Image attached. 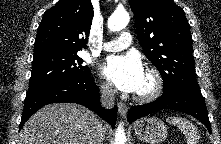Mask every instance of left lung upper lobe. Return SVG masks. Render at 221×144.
<instances>
[{
	"label": "left lung upper lobe",
	"mask_w": 221,
	"mask_h": 144,
	"mask_svg": "<svg viewBox=\"0 0 221 144\" xmlns=\"http://www.w3.org/2000/svg\"><path fill=\"white\" fill-rule=\"evenodd\" d=\"M138 40L163 79V92L200 91L195 77L192 36L182 8L173 0H130Z\"/></svg>",
	"instance_id": "left-lung-upper-lobe-1"
}]
</instances>
